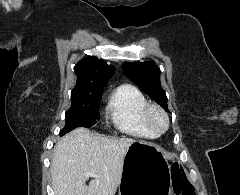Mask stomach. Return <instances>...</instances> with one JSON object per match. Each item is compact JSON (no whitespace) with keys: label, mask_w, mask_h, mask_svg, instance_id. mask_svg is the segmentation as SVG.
<instances>
[{"label":"stomach","mask_w":240,"mask_h":195,"mask_svg":"<svg viewBox=\"0 0 240 195\" xmlns=\"http://www.w3.org/2000/svg\"><path fill=\"white\" fill-rule=\"evenodd\" d=\"M118 195H171L170 165L162 147L142 139L129 145Z\"/></svg>","instance_id":"0dacf381"}]
</instances>
